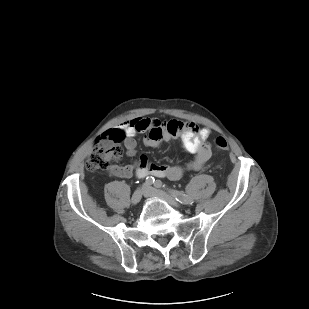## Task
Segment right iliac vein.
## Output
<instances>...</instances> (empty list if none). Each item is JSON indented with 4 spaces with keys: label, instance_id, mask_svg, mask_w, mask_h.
I'll return each instance as SVG.
<instances>
[{
    "label": "right iliac vein",
    "instance_id": "63e3f726",
    "mask_svg": "<svg viewBox=\"0 0 309 309\" xmlns=\"http://www.w3.org/2000/svg\"><path fill=\"white\" fill-rule=\"evenodd\" d=\"M145 191H146V184L143 185V187H142L141 189H137V190L133 193V195H132V197H131V203H132L133 205L138 204V203L141 201L142 196H143V194L145 193Z\"/></svg>",
    "mask_w": 309,
    "mask_h": 309
}]
</instances>
